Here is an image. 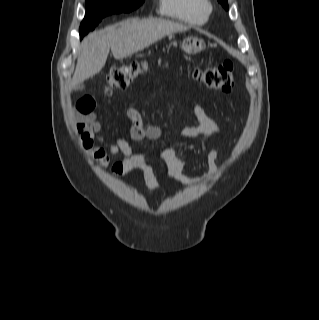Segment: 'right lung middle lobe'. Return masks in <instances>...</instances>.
I'll return each mask as SVG.
<instances>
[{
    "label": "right lung middle lobe",
    "instance_id": "dd1d6c3e",
    "mask_svg": "<svg viewBox=\"0 0 319 320\" xmlns=\"http://www.w3.org/2000/svg\"><path fill=\"white\" fill-rule=\"evenodd\" d=\"M144 0H86V15L80 25V38L107 15L130 12L137 9Z\"/></svg>",
    "mask_w": 319,
    "mask_h": 320
}]
</instances>
